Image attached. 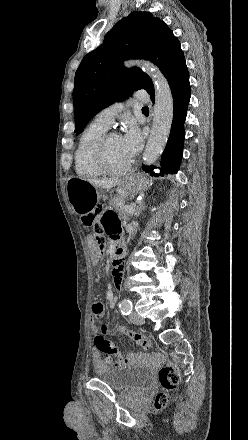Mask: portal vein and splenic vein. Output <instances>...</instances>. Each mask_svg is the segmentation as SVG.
<instances>
[{
    "label": "portal vein and splenic vein",
    "instance_id": "1",
    "mask_svg": "<svg viewBox=\"0 0 248 440\" xmlns=\"http://www.w3.org/2000/svg\"><path fill=\"white\" fill-rule=\"evenodd\" d=\"M135 206L136 204L132 203L131 205H125V211L129 214H133L135 212Z\"/></svg>",
    "mask_w": 248,
    "mask_h": 440
}]
</instances>
